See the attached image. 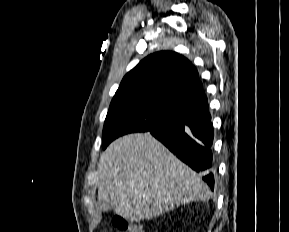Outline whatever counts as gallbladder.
Returning <instances> with one entry per match:
<instances>
[{
	"instance_id": "obj_1",
	"label": "gallbladder",
	"mask_w": 289,
	"mask_h": 232,
	"mask_svg": "<svg viewBox=\"0 0 289 232\" xmlns=\"http://www.w3.org/2000/svg\"><path fill=\"white\" fill-rule=\"evenodd\" d=\"M99 205L102 211H109L111 209V206L109 204L104 205V202L102 200H99Z\"/></svg>"
}]
</instances>
